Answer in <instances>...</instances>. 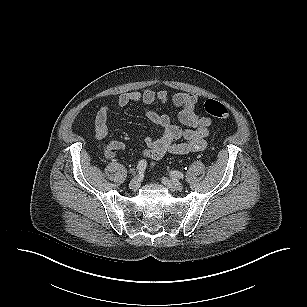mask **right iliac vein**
Masks as SVG:
<instances>
[{"mask_svg": "<svg viewBox=\"0 0 307 307\" xmlns=\"http://www.w3.org/2000/svg\"><path fill=\"white\" fill-rule=\"evenodd\" d=\"M140 186V181L138 177H134L131 182L129 183V188L132 190H137Z\"/></svg>", "mask_w": 307, "mask_h": 307, "instance_id": "right-iliac-vein-1", "label": "right iliac vein"}]
</instances>
